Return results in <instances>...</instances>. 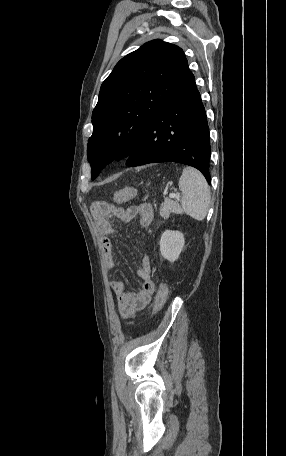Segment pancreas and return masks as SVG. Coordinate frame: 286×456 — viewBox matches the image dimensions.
<instances>
[{"mask_svg":"<svg viewBox=\"0 0 286 456\" xmlns=\"http://www.w3.org/2000/svg\"><path fill=\"white\" fill-rule=\"evenodd\" d=\"M171 213L182 214L183 211L178 202L165 199L160 207V215L162 218L167 219Z\"/></svg>","mask_w":286,"mask_h":456,"instance_id":"1","label":"pancreas"}]
</instances>
